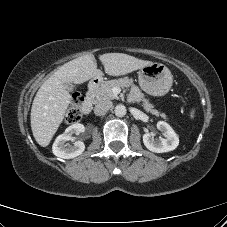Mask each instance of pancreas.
I'll return each mask as SVG.
<instances>
[{
  "mask_svg": "<svg viewBox=\"0 0 227 227\" xmlns=\"http://www.w3.org/2000/svg\"><path fill=\"white\" fill-rule=\"evenodd\" d=\"M133 84V81L129 79L128 77H124L118 80H109L103 82L100 87L95 89L92 92L93 97L95 98V101H103V100H113L117 99L118 96L113 93L112 89L114 87H129ZM142 107L146 112H150L151 114L155 116H161L164 119H167L166 115L164 113H160L158 110L153 109V105L149 103L147 99H143Z\"/></svg>",
  "mask_w": 227,
  "mask_h": 227,
  "instance_id": "1",
  "label": "pancreas"
}]
</instances>
